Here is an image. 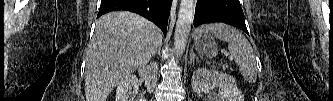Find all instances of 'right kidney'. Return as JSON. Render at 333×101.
<instances>
[{
  "mask_svg": "<svg viewBox=\"0 0 333 101\" xmlns=\"http://www.w3.org/2000/svg\"><path fill=\"white\" fill-rule=\"evenodd\" d=\"M139 76L145 81L148 92H151L156 86L158 64L152 62L144 66L138 71ZM139 83L137 77L128 75L124 77L118 84L116 89V101H129V94L133 90L134 93L138 92Z\"/></svg>",
  "mask_w": 333,
  "mask_h": 101,
  "instance_id": "obj_1",
  "label": "right kidney"
}]
</instances>
